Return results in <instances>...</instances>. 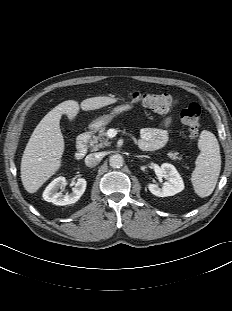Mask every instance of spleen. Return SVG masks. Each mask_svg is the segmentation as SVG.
I'll return each instance as SVG.
<instances>
[{"label":"spleen","mask_w":232,"mask_h":311,"mask_svg":"<svg viewBox=\"0 0 232 311\" xmlns=\"http://www.w3.org/2000/svg\"><path fill=\"white\" fill-rule=\"evenodd\" d=\"M198 148L200 154L195 162L191 182L196 194L203 198L211 195L215 189L221 170V155L216 136L207 130L201 132Z\"/></svg>","instance_id":"1"}]
</instances>
